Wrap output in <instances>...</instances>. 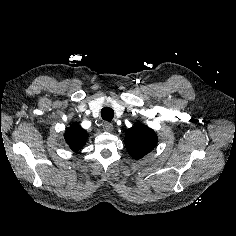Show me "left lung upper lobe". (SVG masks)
Here are the masks:
<instances>
[{
	"instance_id": "left-lung-upper-lobe-1",
	"label": "left lung upper lobe",
	"mask_w": 236,
	"mask_h": 236,
	"mask_svg": "<svg viewBox=\"0 0 236 236\" xmlns=\"http://www.w3.org/2000/svg\"><path fill=\"white\" fill-rule=\"evenodd\" d=\"M125 146L134 159H140L151 152L157 143L155 132L146 125H134L125 133Z\"/></svg>"
}]
</instances>
